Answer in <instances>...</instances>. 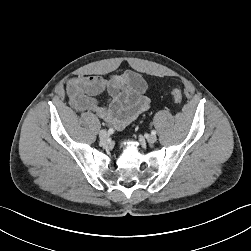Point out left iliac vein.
<instances>
[{"instance_id":"obj_1","label":"left iliac vein","mask_w":251,"mask_h":251,"mask_svg":"<svg viewBox=\"0 0 251 251\" xmlns=\"http://www.w3.org/2000/svg\"><path fill=\"white\" fill-rule=\"evenodd\" d=\"M146 140H147L148 143L153 144V143L156 142L157 138H156L155 135H148V136L146 137Z\"/></svg>"}]
</instances>
